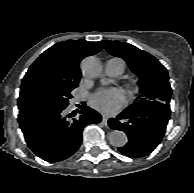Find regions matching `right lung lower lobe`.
I'll list each match as a JSON object with an SVG mask.
<instances>
[{
    "instance_id": "obj_1",
    "label": "right lung lower lobe",
    "mask_w": 194,
    "mask_h": 193,
    "mask_svg": "<svg viewBox=\"0 0 194 193\" xmlns=\"http://www.w3.org/2000/svg\"><path fill=\"white\" fill-rule=\"evenodd\" d=\"M79 118L69 120L66 108L40 107L19 110V124L29 148L48 162L62 161L80 147L83 128L99 123L101 116L89 107L79 110Z\"/></svg>"
}]
</instances>
